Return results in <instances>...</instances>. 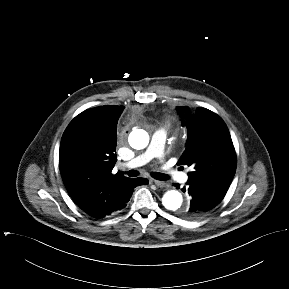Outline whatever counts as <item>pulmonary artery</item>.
<instances>
[{"mask_svg": "<svg viewBox=\"0 0 289 289\" xmlns=\"http://www.w3.org/2000/svg\"><path fill=\"white\" fill-rule=\"evenodd\" d=\"M166 130L160 128L154 132L151 137V141L147 149L136 156L134 159L126 164V167L135 168L148 163L153 158L163 159L164 157V146L166 141ZM163 169L166 174L178 181H186L188 176L185 173H180L177 170L171 168L168 164H164Z\"/></svg>", "mask_w": 289, "mask_h": 289, "instance_id": "obj_1", "label": "pulmonary artery"}]
</instances>
